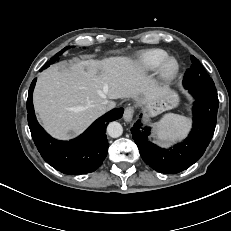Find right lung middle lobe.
<instances>
[{"instance_id": "right-lung-middle-lobe-1", "label": "right lung middle lobe", "mask_w": 231, "mask_h": 231, "mask_svg": "<svg viewBox=\"0 0 231 231\" xmlns=\"http://www.w3.org/2000/svg\"><path fill=\"white\" fill-rule=\"evenodd\" d=\"M69 48H70V46L65 47V48L62 49L60 52H58L57 54H55V56L52 57V58L50 59V61H48V62L42 67L41 70L46 69V68L49 67L52 63H54L55 61H57V60H58V57H59L60 55H62V53L65 52V51H66L67 49H69Z\"/></svg>"}]
</instances>
